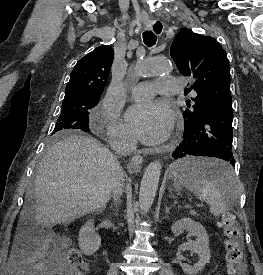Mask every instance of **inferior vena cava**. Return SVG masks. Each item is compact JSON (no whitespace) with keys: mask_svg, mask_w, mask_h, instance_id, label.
Instances as JSON below:
<instances>
[{"mask_svg":"<svg viewBox=\"0 0 263 275\" xmlns=\"http://www.w3.org/2000/svg\"><path fill=\"white\" fill-rule=\"evenodd\" d=\"M112 149L118 156H126L136 149V140L128 133H122L115 138L112 143ZM123 174L120 168L114 173L112 184V196L115 202L119 200L123 190Z\"/></svg>","mask_w":263,"mask_h":275,"instance_id":"602c4592","label":"inferior vena cava"}]
</instances>
